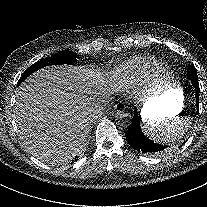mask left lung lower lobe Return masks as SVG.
Returning a JSON list of instances; mask_svg holds the SVG:
<instances>
[{
	"label": "left lung lower lobe",
	"mask_w": 207,
	"mask_h": 207,
	"mask_svg": "<svg viewBox=\"0 0 207 207\" xmlns=\"http://www.w3.org/2000/svg\"><path fill=\"white\" fill-rule=\"evenodd\" d=\"M190 81H191L192 85L194 86V88L196 89V97L195 98H196L197 106H199L200 88H199V84H198V76H197V78L192 77L190 79ZM140 121H141V117L138 116V112L136 109L134 116H133V119H132V123L125 134L129 145L132 148H134L135 150H137L138 152H143V153H148V154H150V153L153 154V153L160 152V151L164 150L166 148L165 145H160V144L154 143L145 137V135L141 131Z\"/></svg>",
	"instance_id": "left-lung-lower-lobe-1"
}]
</instances>
